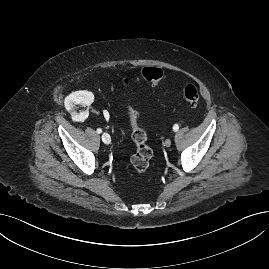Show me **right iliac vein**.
I'll return each instance as SVG.
<instances>
[{"label":"right iliac vein","instance_id":"1","mask_svg":"<svg viewBox=\"0 0 269 269\" xmlns=\"http://www.w3.org/2000/svg\"><path fill=\"white\" fill-rule=\"evenodd\" d=\"M102 140L105 144H110L111 143V137L108 133L104 132L102 134Z\"/></svg>","mask_w":269,"mask_h":269}]
</instances>
